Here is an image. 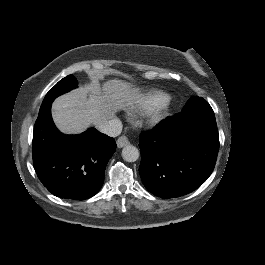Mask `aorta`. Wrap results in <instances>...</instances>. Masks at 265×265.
<instances>
[{
    "label": "aorta",
    "mask_w": 265,
    "mask_h": 265,
    "mask_svg": "<svg viewBox=\"0 0 265 265\" xmlns=\"http://www.w3.org/2000/svg\"><path fill=\"white\" fill-rule=\"evenodd\" d=\"M138 157H139V151L135 146L129 144L122 149V158L125 161L134 162L138 159Z\"/></svg>",
    "instance_id": "1"
}]
</instances>
